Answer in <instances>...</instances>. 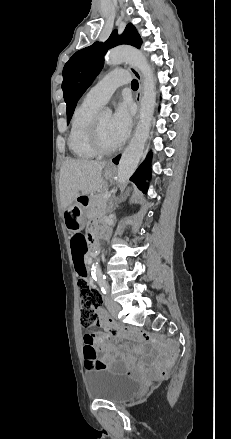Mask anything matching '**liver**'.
<instances>
[{
    "label": "liver",
    "instance_id": "6515ba94",
    "mask_svg": "<svg viewBox=\"0 0 231 439\" xmlns=\"http://www.w3.org/2000/svg\"><path fill=\"white\" fill-rule=\"evenodd\" d=\"M106 162L85 159H67L60 171L59 189L61 206L69 207L80 195H87L100 189L102 169Z\"/></svg>",
    "mask_w": 231,
    "mask_h": 439
}]
</instances>
